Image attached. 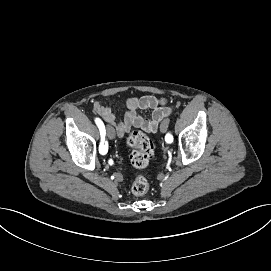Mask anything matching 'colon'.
<instances>
[{
  "label": "colon",
  "instance_id": "5ec220e1",
  "mask_svg": "<svg viewBox=\"0 0 271 271\" xmlns=\"http://www.w3.org/2000/svg\"><path fill=\"white\" fill-rule=\"evenodd\" d=\"M127 144L132 148L130 154L132 166L139 170L145 168L154 156L152 141L142 132L135 131L127 137ZM148 190V180L142 175L136 176L132 184V192L140 196L147 193Z\"/></svg>",
  "mask_w": 271,
  "mask_h": 271
}]
</instances>
